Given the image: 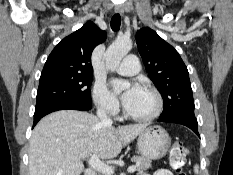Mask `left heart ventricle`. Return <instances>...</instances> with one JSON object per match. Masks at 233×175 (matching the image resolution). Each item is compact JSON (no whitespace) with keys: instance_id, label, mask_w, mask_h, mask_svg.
<instances>
[{"instance_id":"left-heart-ventricle-1","label":"left heart ventricle","mask_w":233,"mask_h":175,"mask_svg":"<svg viewBox=\"0 0 233 175\" xmlns=\"http://www.w3.org/2000/svg\"><path fill=\"white\" fill-rule=\"evenodd\" d=\"M155 104L152 94L141 89L133 100L125 106L133 115H147L155 108Z\"/></svg>"}]
</instances>
